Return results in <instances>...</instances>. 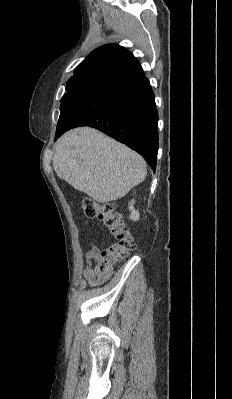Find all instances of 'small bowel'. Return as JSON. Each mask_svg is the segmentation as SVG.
Segmentation results:
<instances>
[{"label":"small bowel","mask_w":232,"mask_h":399,"mask_svg":"<svg viewBox=\"0 0 232 399\" xmlns=\"http://www.w3.org/2000/svg\"><path fill=\"white\" fill-rule=\"evenodd\" d=\"M95 257V251L90 249L86 254L87 263L83 268L82 275L88 282V287L92 288L94 285L95 272L93 270V259Z\"/></svg>","instance_id":"c3829d8e"}]
</instances>
